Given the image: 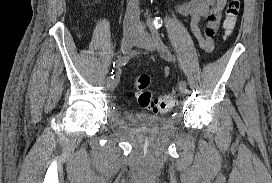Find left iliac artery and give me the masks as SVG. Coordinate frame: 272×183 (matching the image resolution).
<instances>
[{
	"instance_id": "obj_1",
	"label": "left iliac artery",
	"mask_w": 272,
	"mask_h": 183,
	"mask_svg": "<svg viewBox=\"0 0 272 183\" xmlns=\"http://www.w3.org/2000/svg\"><path fill=\"white\" fill-rule=\"evenodd\" d=\"M151 32H152V37L154 38V40L156 41L157 44V49L161 55V57L167 61H173V57L171 52L169 51L168 47L164 44V42L162 41L158 31H156L153 27L151 28ZM187 86L186 81L181 80L179 82V87L180 88H185Z\"/></svg>"
}]
</instances>
